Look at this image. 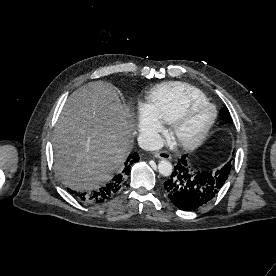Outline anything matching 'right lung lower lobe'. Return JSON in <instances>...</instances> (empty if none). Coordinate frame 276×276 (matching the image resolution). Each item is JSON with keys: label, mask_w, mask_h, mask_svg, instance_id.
<instances>
[{"label": "right lung lower lobe", "mask_w": 276, "mask_h": 276, "mask_svg": "<svg viewBox=\"0 0 276 276\" xmlns=\"http://www.w3.org/2000/svg\"><path fill=\"white\" fill-rule=\"evenodd\" d=\"M138 161L139 155L137 153L131 154L113 179L96 191L91 193H78L69 189V192L74 194L81 201L88 203H101L113 196L123 186L126 177L130 173L131 166Z\"/></svg>", "instance_id": "obj_1"}]
</instances>
